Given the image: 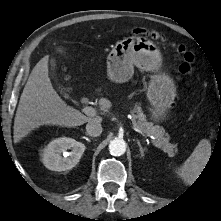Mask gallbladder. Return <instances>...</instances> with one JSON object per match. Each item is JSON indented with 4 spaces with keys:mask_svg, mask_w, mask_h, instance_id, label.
<instances>
[{
    "mask_svg": "<svg viewBox=\"0 0 221 221\" xmlns=\"http://www.w3.org/2000/svg\"><path fill=\"white\" fill-rule=\"evenodd\" d=\"M50 64H51V70H54V68H55V59H51L50 60Z\"/></svg>",
    "mask_w": 221,
    "mask_h": 221,
    "instance_id": "gallbladder-1",
    "label": "gallbladder"
}]
</instances>
